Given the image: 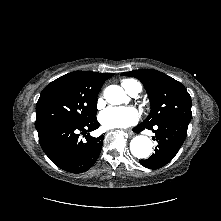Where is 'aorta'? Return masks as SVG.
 I'll use <instances>...</instances> for the list:
<instances>
[{
	"label": "aorta",
	"mask_w": 221,
	"mask_h": 221,
	"mask_svg": "<svg viewBox=\"0 0 221 221\" xmlns=\"http://www.w3.org/2000/svg\"><path fill=\"white\" fill-rule=\"evenodd\" d=\"M105 100L112 105H120L125 100L124 90L117 85H110L104 90ZM153 143L147 136L139 135L130 142V150L134 157L148 158L152 153Z\"/></svg>",
	"instance_id": "762f6f07"
}]
</instances>
